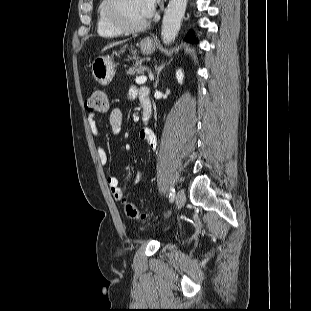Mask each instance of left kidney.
I'll return each mask as SVG.
<instances>
[{
  "instance_id": "left-kidney-1",
  "label": "left kidney",
  "mask_w": 311,
  "mask_h": 311,
  "mask_svg": "<svg viewBox=\"0 0 311 311\" xmlns=\"http://www.w3.org/2000/svg\"><path fill=\"white\" fill-rule=\"evenodd\" d=\"M183 78H184V74H183L182 70L178 69V71H176V79H177L178 83L182 84Z\"/></svg>"
}]
</instances>
